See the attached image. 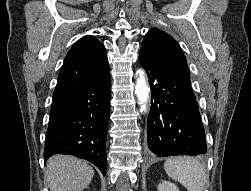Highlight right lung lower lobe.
<instances>
[{
	"instance_id": "98d812e1",
	"label": "right lung lower lobe",
	"mask_w": 251,
	"mask_h": 191,
	"mask_svg": "<svg viewBox=\"0 0 251 191\" xmlns=\"http://www.w3.org/2000/svg\"><path fill=\"white\" fill-rule=\"evenodd\" d=\"M110 75L94 84L53 98L44 159L69 154L86 159L105 175L110 115Z\"/></svg>"
}]
</instances>
